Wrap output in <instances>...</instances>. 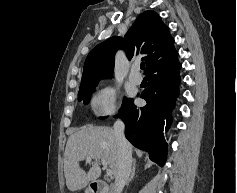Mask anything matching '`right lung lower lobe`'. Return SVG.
<instances>
[{
    "label": "right lung lower lobe",
    "instance_id": "98d812e1",
    "mask_svg": "<svg viewBox=\"0 0 237 193\" xmlns=\"http://www.w3.org/2000/svg\"><path fill=\"white\" fill-rule=\"evenodd\" d=\"M177 56L178 52H175L146 71L149 86L140 96L147 102L144 107L137 108L129 99L116 115L124 121L125 135L131 144L147 151L149 158L160 166L165 163L167 150L163 131L172 123L170 112L180 83L181 65Z\"/></svg>",
    "mask_w": 237,
    "mask_h": 193
}]
</instances>
